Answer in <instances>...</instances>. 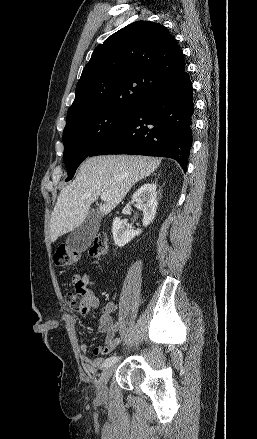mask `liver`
Masks as SVG:
<instances>
[{"label":"liver","mask_w":257,"mask_h":439,"mask_svg":"<svg viewBox=\"0 0 257 439\" xmlns=\"http://www.w3.org/2000/svg\"><path fill=\"white\" fill-rule=\"evenodd\" d=\"M160 162L154 157L131 155L86 159L74 181L58 196L51 218V241L55 242L81 225L89 214L91 204L103 193L109 194L111 199L100 204L99 213L102 216L110 213L131 187L154 172Z\"/></svg>","instance_id":"obj_1"}]
</instances>
